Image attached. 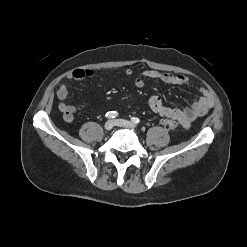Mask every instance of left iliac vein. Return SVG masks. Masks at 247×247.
Here are the masks:
<instances>
[{"label":"left iliac vein","instance_id":"1","mask_svg":"<svg viewBox=\"0 0 247 247\" xmlns=\"http://www.w3.org/2000/svg\"><path fill=\"white\" fill-rule=\"evenodd\" d=\"M114 124L118 127H123V128H128V129H135L136 126L128 121V120H124V119H117L114 121Z\"/></svg>","mask_w":247,"mask_h":247}]
</instances>
